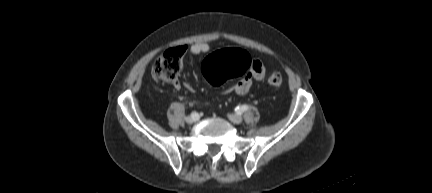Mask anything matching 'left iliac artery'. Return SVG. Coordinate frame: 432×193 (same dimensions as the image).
<instances>
[{
  "instance_id": "44dca946",
  "label": "left iliac artery",
  "mask_w": 432,
  "mask_h": 193,
  "mask_svg": "<svg viewBox=\"0 0 432 193\" xmlns=\"http://www.w3.org/2000/svg\"><path fill=\"white\" fill-rule=\"evenodd\" d=\"M238 111L244 112L248 110V106L247 105H242L240 107H237Z\"/></svg>"
}]
</instances>
